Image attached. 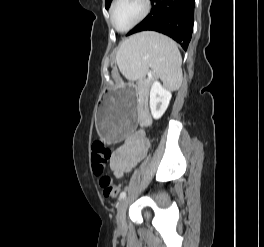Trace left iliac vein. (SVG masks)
I'll return each instance as SVG.
<instances>
[{"instance_id": "1", "label": "left iliac vein", "mask_w": 264, "mask_h": 247, "mask_svg": "<svg viewBox=\"0 0 264 247\" xmlns=\"http://www.w3.org/2000/svg\"><path fill=\"white\" fill-rule=\"evenodd\" d=\"M129 204V198L124 197L120 200L118 207H117V215L116 220L119 229H125L126 228V210Z\"/></svg>"}]
</instances>
